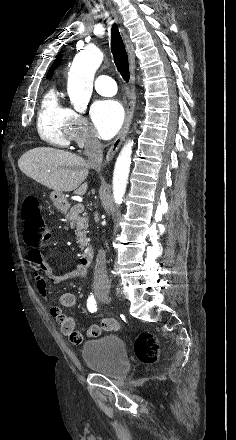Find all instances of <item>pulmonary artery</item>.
<instances>
[{
  "instance_id": "pulmonary-artery-1",
  "label": "pulmonary artery",
  "mask_w": 236,
  "mask_h": 440,
  "mask_svg": "<svg viewBox=\"0 0 236 440\" xmlns=\"http://www.w3.org/2000/svg\"><path fill=\"white\" fill-rule=\"evenodd\" d=\"M94 86L97 93L103 96H112L116 93L115 81L107 75L98 76L95 80Z\"/></svg>"
}]
</instances>
